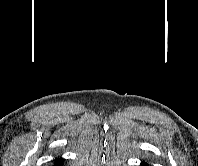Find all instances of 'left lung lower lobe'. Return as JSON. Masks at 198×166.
Masks as SVG:
<instances>
[{
	"mask_svg": "<svg viewBox=\"0 0 198 166\" xmlns=\"http://www.w3.org/2000/svg\"><path fill=\"white\" fill-rule=\"evenodd\" d=\"M140 166H150L148 165V163H146L145 161L141 162V165Z\"/></svg>",
	"mask_w": 198,
	"mask_h": 166,
	"instance_id": "left-lung-lower-lobe-1",
	"label": "left lung lower lobe"
}]
</instances>
